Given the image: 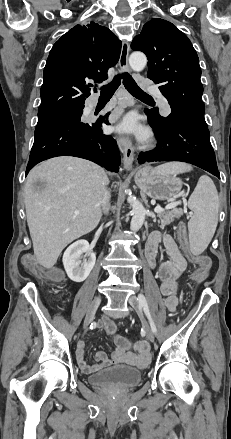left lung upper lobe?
<instances>
[{"label": "left lung upper lobe", "instance_id": "5c2ea615", "mask_svg": "<svg viewBox=\"0 0 231 439\" xmlns=\"http://www.w3.org/2000/svg\"><path fill=\"white\" fill-rule=\"evenodd\" d=\"M131 48L148 58V75L168 100L171 115H178L207 127L202 101L203 86L197 53L187 36L172 23L152 19L135 36ZM160 121L166 117L149 110Z\"/></svg>", "mask_w": 231, "mask_h": 439}]
</instances>
